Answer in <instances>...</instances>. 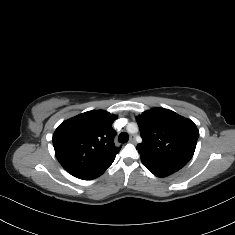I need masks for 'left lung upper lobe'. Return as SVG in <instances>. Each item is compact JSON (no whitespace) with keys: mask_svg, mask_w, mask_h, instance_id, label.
<instances>
[{"mask_svg":"<svg viewBox=\"0 0 235 235\" xmlns=\"http://www.w3.org/2000/svg\"><path fill=\"white\" fill-rule=\"evenodd\" d=\"M142 143L140 155L186 165L192 158L199 131L190 119L164 109L153 108L137 117Z\"/></svg>","mask_w":235,"mask_h":235,"instance_id":"left-lung-upper-lobe-1","label":"left lung upper lobe"}]
</instances>
